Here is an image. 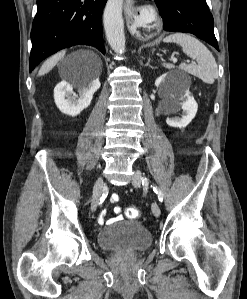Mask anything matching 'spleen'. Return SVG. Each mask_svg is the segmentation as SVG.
<instances>
[{
  "instance_id": "obj_1",
  "label": "spleen",
  "mask_w": 247,
  "mask_h": 299,
  "mask_svg": "<svg viewBox=\"0 0 247 299\" xmlns=\"http://www.w3.org/2000/svg\"><path fill=\"white\" fill-rule=\"evenodd\" d=\"M164 42H174L182 47L183 52L196 60L197 63H181L179 69L194 75L207 84L214 83L218 77V67L210 50L195 37L185 33H174L163 39ZM165 68L171 69L175 66L163 63Z\"/></svg>"
}]
</instances>
